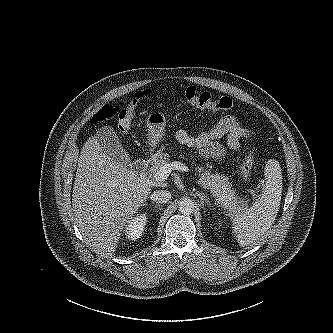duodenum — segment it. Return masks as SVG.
<instances>
[{"mask_svg":"<svg viewBox=\"0 0 333 333\" xmlns=\"http://www.w3.org/2000/svg\"><path fill=\"white\" fill-rule=\"evenodd\" d=\"M148 165H149L148 159H139V160L134 161V163L132 164V169L135 172L142 173L147 170Z\"/></svg>","mask_w":333,"mask_h":333,"instance_id":"1","label":"duodenum"}]
</instances>
